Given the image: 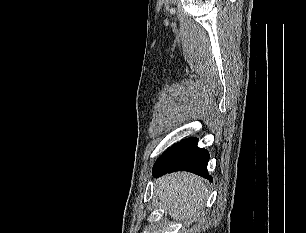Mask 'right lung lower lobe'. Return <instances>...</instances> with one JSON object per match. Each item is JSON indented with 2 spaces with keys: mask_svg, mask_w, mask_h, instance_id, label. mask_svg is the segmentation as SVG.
<instances>
[{
  "mask_svg": "<svg viewBox=\"0 0 306 233\" xmlns=\"http://www.w3.org/2000/svg\"><path fill=\"white\" fill-rule=\"evenodd\" d=\"M197 141V138L191 137L170 147L155 162L153 175L159 177L167 172L184 170L212 179L207 171L208 151L198 148Z\"/></svg>",
  "mask_w": 306,
  "mask_h": 233,
  "instance_id": "right-lung-lower-lobe-1",
  "label": "right lung lower lobe"
}]
</instances>
